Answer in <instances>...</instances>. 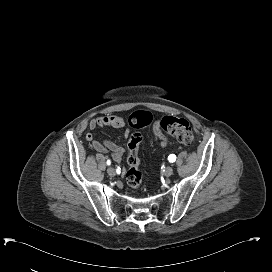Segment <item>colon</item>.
<instances>
[{
	"label": "colon",
	"mask_w": 272,
	"mask_h": 272,
	"mask_svg": "<svg viewBox=\"0 0 272 272\" xmlns=\"http://www.w3.org/2000/svg\"><path fill=\"white\" fill-rule=\"evenodd\" d=\"M150 117L147 114L133 113L128 118L129 125L134 129H140L148 124ZM160 127L168 134L176 138L180 143L190 145L193 142V132L190 124L184 118L165 116L160 121ZM142 141V136L139 132H133L130 135L128 147L130 150L138 148ZM129 169L126 172V181L131 188H138L142 182V175L138 169L136 157L129 154L128 157Z\"/></svg>",
	"instance_id": "colon-1"
}]
</instances>
